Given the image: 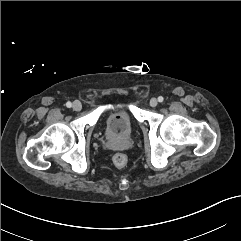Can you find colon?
<instances>
[{"mask_svg":"<svg viewBox=\"0 0 241 241\" xmlns=\"http://www.w3.org/2000/svg\"><path fill=\"white\" fill-rule=\"evenodd\" d=\"M128 158L124 153H117L113 157V162L117 167H124L127 164Z\"/></svg>","mask_w":241,"mask_h":241,"instance_id":"colon-1","label":"colon"}]
</instances>
